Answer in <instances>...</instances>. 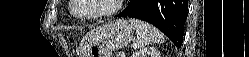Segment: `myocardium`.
I'll list each match as a JSON object with an SVG mask.
<instances>
[{"instance_id":"f54148a6","label":"myocardium","mask_w":249,"mask_h":57,"mask_svg":"<svg viewBox=\"0 0 249 57\" xmlns=\"http://www.w3.org/2000/svg\"><path fill=\"white\" fill-rule=\"evenodd\" d=\"M123 2H124V0H113L112 6L108 10H105V11H102L99 13H95V14L80 16V15L76 14V12H75V9L78 5V0H72L70 11H71V14L79 20H92V19H97V18H101V17H107V16H110V15L117 13L121 9Z\"/></svg>"}]
</instances>
